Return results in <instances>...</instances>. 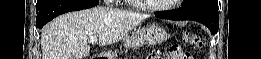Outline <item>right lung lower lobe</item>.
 <instances>
[{"mask_svg": "<svg viewBox=\"0 0 261 59\" xmlns=\"http://www.w3.org/2000/svg\"><path fill=\"white\" fill-rule=\"evenodd\" d=\"M99 4V0H50L36 10V27L41 29L53 18L70 11L91 8Z\"/></svg>", "mask_w": 261, "mask_h": 59, "instance_id": "obj_1", "label": "right lung lower lobe"}]
</instances>
